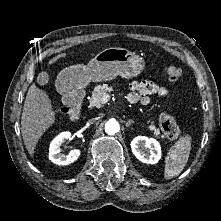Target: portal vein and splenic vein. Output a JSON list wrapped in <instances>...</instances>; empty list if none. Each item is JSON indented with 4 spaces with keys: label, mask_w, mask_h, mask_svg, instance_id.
<instances>
[{
    "label": "portal vein and splenic vein",
    "mask_w": 221,
    "mask_h": 221,
    "mask_svg": "<svg viewBox=\"0 0 221 221\" xmlns=\"http://www.w3.org/2000/svg\"><path fill=\"white\" fill-rule=\"evenodd\" d=\"M109 100H110V95H109V94L103 95V97H102V102H103V103H106V102L109 101Z\"/></svg>",
    "instance_id": "18ae733b"
}]
</instances>
